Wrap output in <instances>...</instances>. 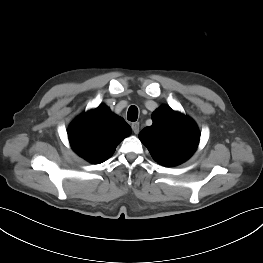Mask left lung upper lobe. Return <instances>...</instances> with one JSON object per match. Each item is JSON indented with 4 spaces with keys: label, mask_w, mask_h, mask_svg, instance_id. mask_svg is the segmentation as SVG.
<instances>
[{
    "label": "left lung upper lobe",
    "mask_w": 263,
    "mask_h": 263,
    "mask_svg": "<svg viewBox=\"0 0 263 263\" xmlns=\"http://www.w3.org/2000/svg\"><path fill=\"white\" fill-rule=\"evenodd\" d=\"M153 124L139 133V139L160 165L172 167L195 152L200 133L189 117L163 105L152 114Z\"/></svg>",
    "instance_id": "1"
}]
</instances>
